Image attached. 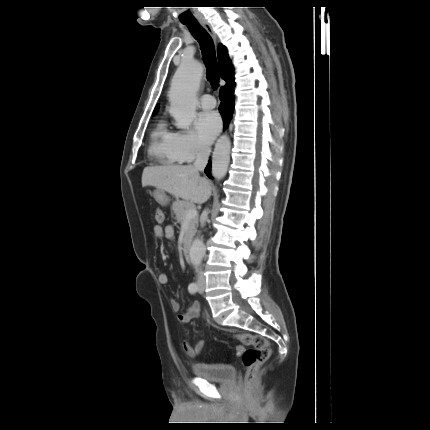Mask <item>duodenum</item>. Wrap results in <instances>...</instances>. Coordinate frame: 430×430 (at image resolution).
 <instances>
[{"mask_svg": "<svg viewBox=\"0 0 430 430\" xmlns=\"http://www.w3.org/2000/svg\"><path fill=\"white\" fill-rule=\"evenodd\" d=\"M183 256L188 263L191 262V246L189 241H186L183 245Z\"/></svg>", "mask_w": 430, "mask_h": 430, "instance_id": "1", "label": "duodenum"}]
</instances>
